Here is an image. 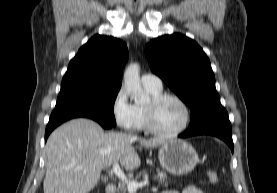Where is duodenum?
I'll use <instances>...</instances> for the list:
<instances>
[{
  "instance_id": "duodenum-1",
  "label": "duodenum",
  "mask_w": 277,
  "mask_h": 193,
  "mask_svg": "<svg viewBox=\"0 0 277 193\" xmlns=\"http://www.w3.org/2000/svg\"><path fill=\"white\" fill-rule=\"evenodd\" d=\"M116 191V186L113 183H109L105 187V193H115Z\"/></svg>"
}]
</instances>
